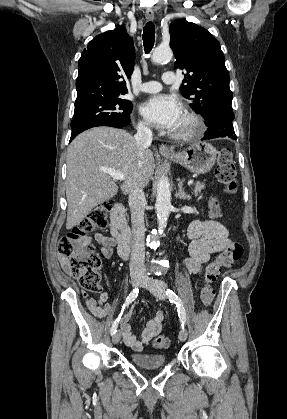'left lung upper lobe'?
<instances>
[{
	"label": "left lung upper lobe",
	"mask_w": 287,
	"mask_h": 419,
	"mask_svg": "<svg viewBox=\"0 0 287 419\" xmlns=\"http://www.w3.org/2000/svg\"><path fill=\"white\" fill-rule=\"evenodd\" d=\"M169 31L175 67L186 71L180 91L207 122L217 108L232 103L220 44L206 29L186 20L173 22Z\"/></svg>",
	"instance_id": "5c2ea615"
}]
</instances>
